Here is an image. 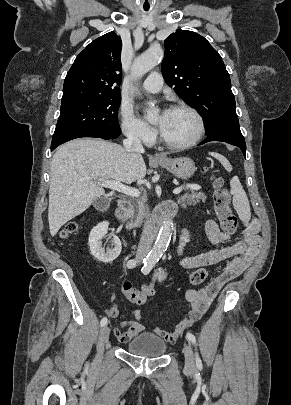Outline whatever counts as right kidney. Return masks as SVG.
I'll return each instance as SVG.
<instances>
[{
  "label": "right kidney",
  "mask_w": 291,
  "mask_h": 405,
  "mask_svg": "<svg viewBox=\"0 0 291 405\" xmlns=\"http://www.w3.org/2000/svg\"><path fill=\"white\" fill-rule=\"evenodd\" d=\"M108 226L109 222L107 221L99 223L91 230L88 240L91 254L103 263L114 261L120 255L122 249L121 241L117 236H113L112 238L114 248H108L106 252L102 248V239L108 232Z\"/></svg>",
  "instance_id": "obj_1"
}]
</instances>
